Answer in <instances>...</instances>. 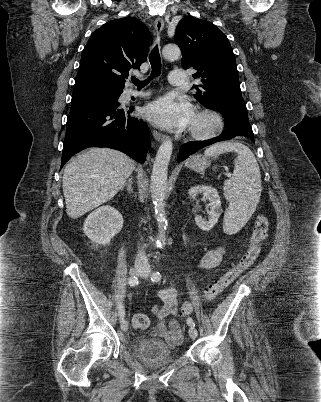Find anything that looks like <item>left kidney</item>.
Masks as SVG:
<instances>
[{
	"instance_id": "5707ae66",
	"label": "left kidney",
	"mask_w": 321,
	"mask_h": 402,
	"mask_svg": "<svg viewBox=\"0 0 321 402\" xmlns=\"http://www.w3.org/2000/svg\"><path fill=\"white\" fill-rule=\"evenodd\" d=\"M200 193H202L204 197L208 199L210 202L209 204L210 210L208 211L209 218L208 220H206L201 216H196L195 222L200 229L204 231H209L218 222V219L223 211L221 207V200L218 191L212 186H206V185L193 186L190 188L188 192L189 196L192 197H195Z\"/></svg>"
}]
</instances>
